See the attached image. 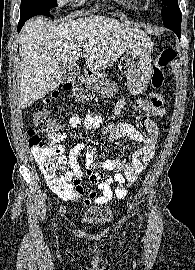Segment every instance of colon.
<instances>
[{"label": "colon", "instance_id": "obj_1", "mask_svg": "<svg viewBox=\"0 0 195 270\" xmlns=\"http://www.w3.org/2000/svg\"><path fill=\"white\" fill-rule=\"evenodd\" d=\"M177 53L172 47L164 48L152 66L151 85L154 89H160L164 84V69L169 66L175 59ZM65 90H71L73 96L79 101H87L90 99L89 88L83 79L76 78L73 82L65 86ZM58 93H54L51 97L55 98ZM50 101V99L48 100ZM163 105V97L159 93L148 94L142 99V103L136 105V110L150 111L156 107ZM60 125L49 117L47 110H37L31 118V126L28 133V141L32 148V153L44 173L48 185L51 190L58 195L68 194L73 185L71 184V176L66 168V158L64 156L63 146L59 143H44L37 133H44L49 138H53L58 134ZM132 182V181H130Z\"/></svg>", "mask_w": 195, "mask_h": 270}]
</instances>
